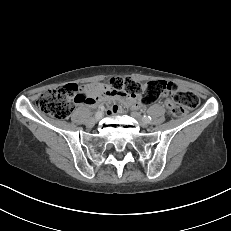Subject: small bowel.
I'll list each match as a JSON object with an SVG mask.
<instances>
[{
  "instance_id": "c3829d8e",
  "label": "small bowel",
  "mask_w": 231,
  "mask_h": 231,
  "mask_svg": "<svg viewBox=\"0 0 231 231\" xmlns=\"http://www.w3.org/2000/svg\"><path fill=\"white\" fill-rule=\"evenodd\" d=\"M82 99L78 101L90 107H98L105 102L118 100L125 106H131L135 109L141 108V101L138 96H128L111 90L107 84L99 82L83 85L80 88ZM109 112L114 113L119 110L117 105H110Z\"/></svg>"
}]
</instances>
